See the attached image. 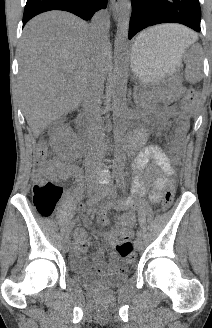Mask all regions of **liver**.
<instances>
[{
	"mask_svg": "<svg viewBox=\"0 0 212 328\" xmlns=\"http://www.w3.org/2000/svg\"><path fill=\"white\" fill-rule=\"evenodd\" d=\"M149 40L163 39L185 48L197 35L181 25L148 29ZM90 24L70 13L50 11L24 28L19 47V87L22 108L35 137L83 100L88 79L103 71L107 50Z\"/></svg>",
	"mask_w": 212,
	"mask_h": 328,
	"instance_id": "1",
	"label": "liver"
}]
</instances>
